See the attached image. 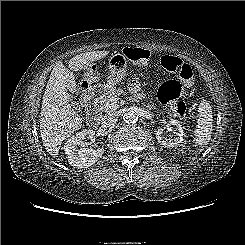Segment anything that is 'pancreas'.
Masks as SVG:
<instances>
[{"label":"pancreas","mask_w":245,"mask_h":245,"mask_svg":"<svg viewBox=\"0 0 245 245\" xmlns=\"http://www.w3.org/2000/svg\"><path fill=\"white\" fill-rule=\"evenodd\" d=\"M123 93L121 89H111L99 99V108L104 112H114L119 108L118 104L111 101L112 97H118Z\"/></svg>","instance_id":"obj_1"}]
</instances>
